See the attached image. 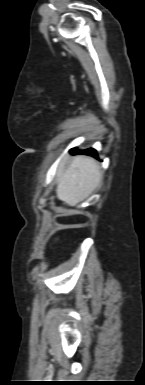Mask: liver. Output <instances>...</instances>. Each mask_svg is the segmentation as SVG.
<instances>
[{
  "instance_id": "1",
  "label": "liver",
  "mask_w": 145,
  "mask_h": 385,
  "mask_svg": "<svg viewBox=\"0 0 145 385\" xmlns=\"http://www.w3.org/2000/svg\"><path fill=\"white\" fill-rule=\"evenodd\" d=\"M66 158L57 172L56 194L59 200L75 206L88 198L102 181V172L97 161L87 156H77L65 169Z\"/></svg>"
}]
</instances>
